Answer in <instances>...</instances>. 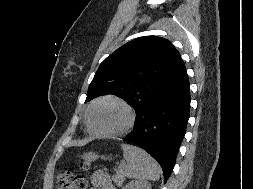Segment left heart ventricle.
<instances>
[{"label":"left heart ventricle","instance_id":"b2bd125f","mask_svg":"<svg viewBox=\"0 0 253 189\" xmlns=\"http://www.w3.org/2000/svg\"><path fill=\"white\" fill-rule=\"evenodd\" d=\"M127 121V112L111 101L98 104L91 113L93 127L100 132H112L122 128Z\"/></svg>","mask_w":253,"mask_h":189}]
</instances>
